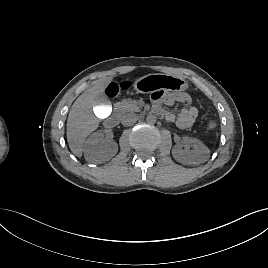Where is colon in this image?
<instances>
[{
  "mask_svg": "<svg viewBox=\"0 0 268 268\" xmlns=\"http://www.w3.org/2000/svg\"><path fill=\"white\" fill-rule=\"evenodd\" d=\"M127 87H128L127 83L117 84V83L111 82L106 88V94L109 97H114L115 95H117L120 89H126Z\"/></svg>",
  "mask_w": 268,
  "mask_h": 268,
  "instance_id": "obj_1",
  "label": "colon"
}]
</instances>
